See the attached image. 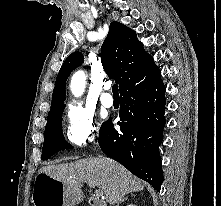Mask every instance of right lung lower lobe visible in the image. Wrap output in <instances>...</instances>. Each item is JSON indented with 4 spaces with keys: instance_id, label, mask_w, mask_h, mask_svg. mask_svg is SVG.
<instances>
[{
    "instance_id": "obj_1",
    "label": "right lung lower lobe",
    "mask_w": 221,
    "mask_h": 206,
    "mask_svg": "<svg viewBox=\"0 0 221 206\" xmlns=\"http://www.w3.org/2000/svg\"><path fill=\"white\" fill-rule=\"evenodd\" d=\"M165 90L154 64L120 90V130L109 118L99 131L102 151L157 191L163 182L158 146L165 125Z\"/></svg>"
}]
</instances>
